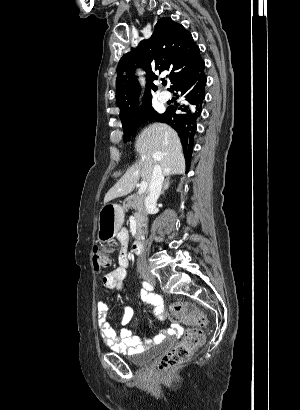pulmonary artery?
<instances>
[{
  "instance_id": "1",
  "label": "pulmonary artery",
  "mask_w": 300,
  "mask_h": 410,
  "mask_svg": "<svg viewBox=\"0 0 300 410\" xmlns=\"http://www.w3.org/2000/svg\"><path fill=\"white\" fill-rule=\"evenodd\" d=\"M170 98H171V95H170V93L167 92V91H162V92L159 94V100H160L162 103H166Z\"/></svg>"
}]
</instances>
